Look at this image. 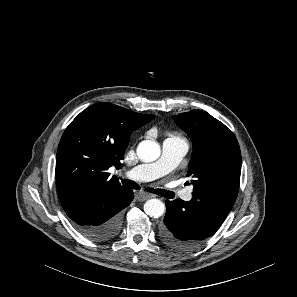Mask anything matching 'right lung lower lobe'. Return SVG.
I'll list each match as a JSON object with an SVG mask.
<instances>
[{
	"mask_svg": "<svg viewBox=\"0 0 297 297\" xmlns=\"http://www.w3.org/2000/svg\"><path fill=\"white\" fill-rule=\"evenodd\" d=\"M132 200L130 189L102 187L84 191L63 208L82 235L95 241H107L120 231L122 210Z\"/></svg>",
	"mask_w": 297,
	"mask_h": 297,
	"instance_id": "obj_1",
	"label": "right lung lower lobe"
}]
</instances>
